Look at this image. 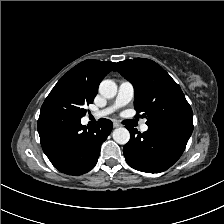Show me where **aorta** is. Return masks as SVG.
<instances>
[{
  "label": "aorta",
  "instance_id": "1",
  "mask_svg": "<svg viewBox=\"0 0 224 224\" xmlns=\"http://www.w3.org/2000/svg\"><path fill=\"white\" fill-rule=\"evenodd\" d=\"M99 93L105 98H113L117 94V85L113 80H103L99 85ZM113 139L120 145H125L130 140L129 131L120 127L113 131Z\"/></svg>",
  "mask_w": 224,
  "mask_h": 224
}]
</instances>
